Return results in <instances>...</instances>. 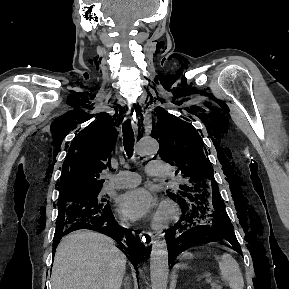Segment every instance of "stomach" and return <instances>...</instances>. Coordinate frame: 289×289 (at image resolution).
Wrapping results in <instances>:
<instances>
[{"mask_svg":"<svg viewBox=\"0 0 289 289\" xmlns=\"http://www.w3.org/2000/svg\"><path fill=\"white\" fill-rule=\"evenodd\" d=\"M186 267V265H182V268H185Z\"/></svg>","mask_w":289,"mask_h":289,"instance_id":"0dacf381","label":"stomach"}]
</instances>
